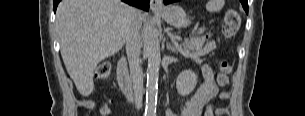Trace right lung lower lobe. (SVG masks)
<instances>
[{"mask_svg":"<svg viewBox=\"0 0 305 116\" xmlns=\"http://www.w3.org/2000/svg\"><path fill=\"white\" fill-rule=\"evenodd\" d=\"M122 1L132 6H136L138 8L144 9L146 11L149 9L150 0H122ZM59 2L60 0H54V11L56 10Z\"/></svg>","mask_w":305,"mask_h":116,"instance_id":"obj_1","label":"right lung lower lobe"}]
</instances>
